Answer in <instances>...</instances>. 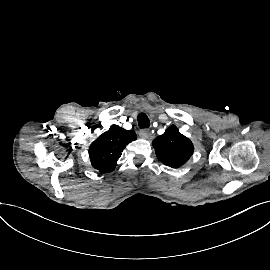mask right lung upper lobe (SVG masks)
Wrapping results in <instances>:
<instances>
[{
    "label": "right lung upper lobe",
    "mask_w": 270,
    "mask_h": 270,
    "mask_svg": "<svg viewBox=\"0 0 270 270\" xmlns=\"http://www.w3.org/2000/svg\"><path fill=\"white\" fill-rule=\"evenodd\" d=\"M136 139L137 136L134 131L112 125L89 147L92 166L101 173L113 171L126 145Z\"/></svg>",
    "instance_id": "right-lung-upper-lobe-1"
}]
</instances>
